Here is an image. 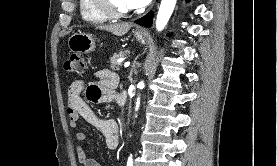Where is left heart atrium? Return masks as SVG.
<instances>
[{"mask_svg": "<svg viewBox=\"0 0 277 166\" xmlns=\"http://www.w3.org/2000/svg\"><path fill=\"white\" fill-rule=\"evenodd\" d=\"M151 0H126L130 9L142 8L150 3Z\"/></svg>", "mask_w": 277, "mask_h": 166, "instance_id": "left-heart-atrium-1", "label": "left heart atrium"}]
</instances>
